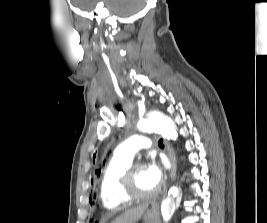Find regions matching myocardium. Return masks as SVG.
I'll return each instance as SVG.
<instances>
[{"label":"myocardium","instance_id":"obj_1","mask_svg":"<svg viewBox=\"0 0 267 223\" xmlns=\"http://www.w3.org/2000/svg\"><path fill=\"white\" fill-rule=\"evenodd\" d=\"M145 167L143 162L132 163L121 177V189L124 198L127 201H145L154 198L158 189L150 193H140L135 188V174L136 172Z\"/></svg>","mask_w":267,"mask_h":223}]
</instances>
